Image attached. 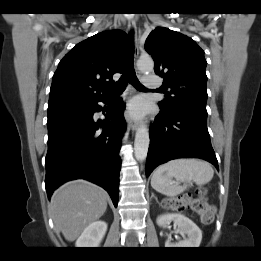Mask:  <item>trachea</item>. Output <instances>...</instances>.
<instances>
[{"instance_id": "3493384b", "label": "trachea", "mask_w": 261, "mask_h": 261, "mask_svg": "<svg viewBox=\"0 0 261 261\" xmlns=\"http://www.w3.org/2000/svg\"><path fill=\"white\" fill-rule=\"evenodd\" d=\"M132 35L133 33L131 34V38L127 46V55L124 62V73L112 87V95L121 94L128 83H131L136 89H145V87L137 79L134 70V45Z\"/></svg>"}]
</instances>
